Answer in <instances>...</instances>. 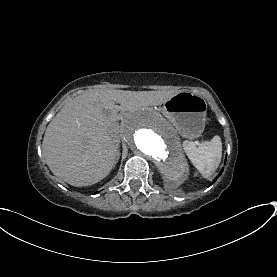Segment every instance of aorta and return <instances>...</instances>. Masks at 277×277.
<instances>
[{
  "mask_svg": "<svg viewBox=\"0 0 277 277\" xmlns=\"http://www.w3.org/2000/svg\"><path fill=\"white\" fill-rule=\"evenodd\" d=\"M125 141L166 180L180 182L185 178L188 167L179 138L172 126L156 112L144 110L132 115L126 123Z\"/></svg>",
  "mask_w": 277,
  "mask_h": 277,
  "instance_id": "aorta-1",
  "label": "aorta"
}]
</instances>
